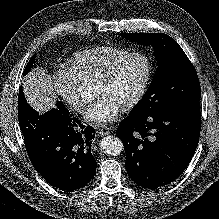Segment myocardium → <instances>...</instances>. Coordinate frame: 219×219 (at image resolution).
Masks as SVG:
<instances>
[{
	"instance_id": "obj_1",
	"label": "myocardium",
	"mask_w": 219,
	"mask_h": 219,
	"mask_svg": "<svg viewBox=\"0 0 219 219\" xmlns=\"http://www.w3.org/2000/svg\"><path fill=\"white\" fill-rule=\"evenodd\" d=\"M132 57H140L144 60L145 65H146V70H145V75L143 78V81L138 89V91L136 92V94L134 95V97L124 106L121 107V109L123 111H130L133 108H135L140 102L141 100L144 98L152 77H153V73H154V64H153V60L152 58L149 56V54H147L144 51H140V50H136V51H130L126 54H124L123 56H121L120 58H118L117 60H115L108 68L105 69V71L97 78L98 82H107L109 81L113 75L118 71V69L122 66V64L129 58Z\"/></svg>"
}]
</instances>
